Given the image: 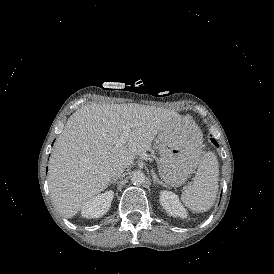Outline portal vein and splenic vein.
Listing matches in <instances>:
<instances>
[{
	"mask_svg": "<svg viewBox=\"0 0 274 274\" xmlns=\"http://www.w3.org/2000/svg\"><path fill=\"white\" fill-rule=\"evenodd\" d=\"M129 132H130V126H125L124 127V131L122 133V135L120 136V138L118 139L117 144L119 145H125L126 144V140L129 136Z\"/></svg>",
	"mask_w": 274,
	"mask_h": 274,
	"instance_id": "obj_1",
	"label": "portal vein and splenic vein"
}]
</instances>
